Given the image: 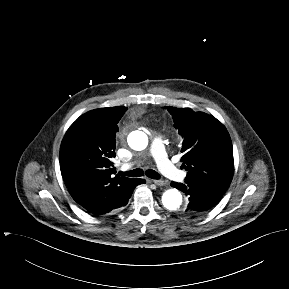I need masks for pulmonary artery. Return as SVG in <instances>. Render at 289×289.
Returning a JSON list of instances; mask_svg holds the SVG:
<instances>
[{"instance_id":"obj_1","label":"pulmonary artery","mask_w":289,"mask_h":289,"mask_svg":"<svg viewBox=\"0 0 289 289\" xmlns=\"http://www.w3.org/2000/svg\"><path fill=\"white\" fill-rule=\"evenodd\" d=\"M150 152L154 157L159 170L169 179L174 181H182L185 173L179 170L169 159L165 151V147L161 138L156 137L152 141ZM128 167V165H127Z\"/></svg>"}]
</instances>
